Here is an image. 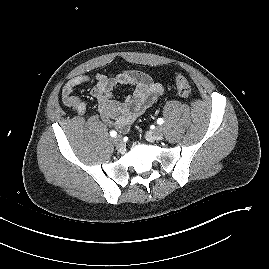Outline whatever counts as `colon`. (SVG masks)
<instances>
[{
  "instance_id": "obj_1",
  "label": "colon",
  "mask_w": 269,
  "mask_h": 269,
  "mask_svg": "<svg viewBox=\"0 0 269 269\" xmlns=\"http://www.w3.org/2000/svg\"><path fill=\"white\" fill-rule=\"evenodd\" d=\"M175 82L179 96L188 98L191 95V87L186 77L182 74H177Z\"/></svg>"
}]
</instances>
